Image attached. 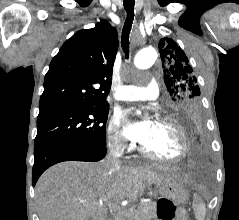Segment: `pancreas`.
I'll use <instances>...</instances> for the list:
<instances>
[{
	"instance_id": "1",
	"label": "pancreas",
	"mask_w": 239,
	"mask_h": 220,
	"mask_svg": "<svg viewBox=\"0 0 239 220\" xmlns=\"http://www.w3.org/2000/svg\"><path fill=\"white\" fill-rule=\"evenodd\" d=\"M155 215L156 205L154 203H149L137 207L133 206L126 212V219L123 220H151Z\"/></svg>"
}]
</instances>
